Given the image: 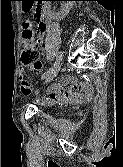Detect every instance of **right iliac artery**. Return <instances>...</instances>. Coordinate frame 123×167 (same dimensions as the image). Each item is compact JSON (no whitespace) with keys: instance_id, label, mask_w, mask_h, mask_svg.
Instances as JSON below:
<instances>
[{"instance_id":"right-iliac-artery-1","label":"right iliac artery","mask_w":123,"mask_h":167,"mask_svg":"<svg viewBox=\"0 0 123 167\" xmlns=\"http://www.w3.org/2000/svg\"><path fill=\"white\" fill-rule=\"evenodd\" d=\"M62 59V52H59L56 56V62L54 64V66ZM51 70V69H50ZM50 70L48 72H46V74L43 75V78L48 75V73L50 72Z\"/></svg>"}]
</instances>
